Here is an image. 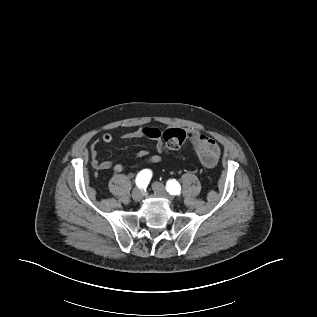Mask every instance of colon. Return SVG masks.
Wrapping results in <instances>:
<instances>
[{
    "label": "colon",
    "instance_id": "obj_1",
    "mask_svg": "<svg viewBox=\"0 0 317 317\" xmlns=\"http://www.w3.org/2000/svg\"><path fill=\"white\" fill-rule=\"evenodd\" d=\"M164 148L167 151L180 149L189 140V135L186 131L179 128H170L161 134Z\"/></svg>",
    "mask_w": 317,
    "mask_h": 317
}]
</instances>
